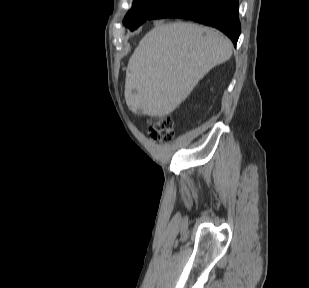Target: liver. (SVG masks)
<instances>
[{"label": "liver", "instance_id": "6515ba94", "mask_svg": "<svg viewBox=\"0 0 309 288\" xmlns=\"http://www.w3.org/2000/svg\"><path fill=\"white\" fill-rule=\"evenodd\" d=\"M231 41L194 23H158L129 59L125 100L135 114H171L215 66L230 59Z\"/></svg>", "mask_w": 309, "mask_h": 288}]
</instances>
